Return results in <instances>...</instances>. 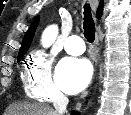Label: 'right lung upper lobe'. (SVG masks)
Listing matches in <instances>:
<instances>
[{"label": "right lung upper lobe", "instance_id": "obj_1", "mask_svg": "<svg viewBox=\"0 0 131 115\" xmlns=\"http://www.w3.org/2000/svg\"><path fill=\"white\" fill-rule=\"evenodd\" d=\"M102 12H103V0H101L99 7L97 9L96 15L98 18L101 17ZM38 23H39V16L35 18V20L31 24L30 28L28 29L27 33L25 34V37L23 39L18 56L26 53V51L28 50V48L32 42V39L34 37V33H35Z\"/></svg>", "mask_w": 131, "mask_h": 115}]
</instances>
